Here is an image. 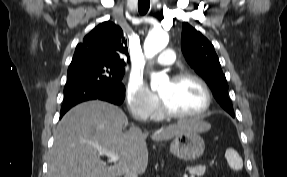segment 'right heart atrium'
<instances>
[{"label":"right heart atrium","mask_w":287,"mask_h":177,"mask_svg":"<svg viewBox=\"0 0 287 177\" xmlns=\"http://www.w3.org/2000/svg\"><path fill=\"white\" fill-rule=\"evenodd\" d=\"M126 101L130 113L139 119L157 115L159 101L139 77H131L126 87Z\"/></svg>","instance_id":"obj_1"}]
</instances>
